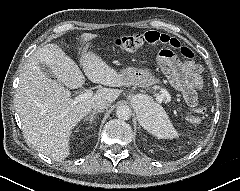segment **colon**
Segmentation results:
<instances>
[{
	"label": "colon",
	"mask_w": 240,
	"mask_h": 191,
	"mask_svg": "<svg viewBox=\"0 0 240 191\" xmlns=\"http://www.w3.org/2000/svg\"><path fill=\"white\" fill-rule=\"evenodd\" d=\"M115 44L119 49L125 51H135L145 45L160 46L162 49L159 53V59L162 63L171 59L175 50H178L186 59L191 60L194 58L193 52L189 48L182 46L177 39L156 31L123 36L116 39ZM186 119L193 125L201 124L204 119L203 108L197 106V103L190 106Z\"/></svg>",
	"instance_id": "5ec220e1"
}]
</instances>
